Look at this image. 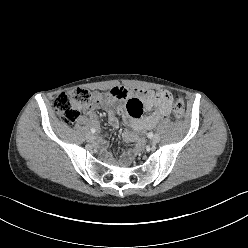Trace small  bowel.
Here are the masks:
<instances>
[{
  "mask_svg": "<svg viewBox=\"0 0 248 248\" xmlns=\"http://www.w3.org/2000/svg\"><path fill=\"white\" fill-rule=\"evenodd\" d=\"M125 102V105H121ZM108 108V120L114 127H118L115 108H121L125 119L137 132L146 131L157 124V122L172 111V103L163 97L162 91L130 89L126 87H114L106 94H95L93 108ZM144 111H153L150 116H144ZM93 115L92 109L88 110ZM128 138H133L132 133H127ZM98 144L104 148L106 140L100 138ZM129 156V154L127 155Z\"/></svg>",
  "mask_w": 248,
  "mask_h": 248,
  "instance_id": "1",
  "label": "small bowel"
}]
</instances>
